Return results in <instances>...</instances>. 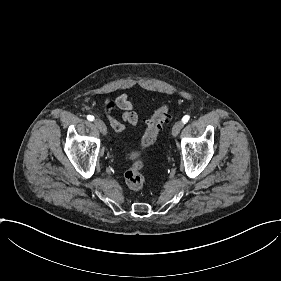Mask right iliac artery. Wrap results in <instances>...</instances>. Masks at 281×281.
Listing matches in <instances>:
<instances>
[{
	"mask_svg": "<svg viewBox=\"0 0 281 281\" xmlns=\"http://www.w3.org/2000/svg\"><path fill=\"white\" fill-rule=\"evenodd\" d=\"M87 119H88L89 121H93V120H94V116L88 115V116H87Z\"/></svg>",
	"mask_w": 281,
	"mask_h": 281,
	"instance_id": "obj_1",
	"label": "right iliac artery"
}]
</instances>
